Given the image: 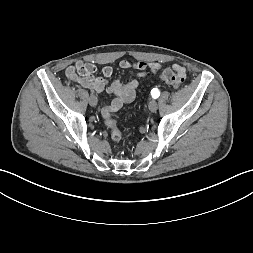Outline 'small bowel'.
Wrapping results in <instances>:
<instances>
[{"label": "small bowel", "mask_w": 253, "mask_h": 253, "mask_svg": "<svg viewBox=\"0 0 253 253\" xmlns=\"http://www.w3.org/2000/svg\"><path fill=\"white\" fill-rule=\"evenodd\" d=\"M120 67L124 70H135L137 77H145L149 70L157 71L161 69L162 65L158 62L122 60ZM172 67L185 72L184 67L179 64H173ZM97 71V66L93 62H78L75 65L68 66L65 73L69 80L84 88L94 89L97 93L106 89L113 96L110 104H103L101 107L103 116L109 118L118 112L125 103H130L135 99L139 82L136 79L126 82L120 80L109 82V78L113 74V68L110 65L102 68V76H96Z\"/></svg>", "instance_id": "obj_1"}]
</instances>
